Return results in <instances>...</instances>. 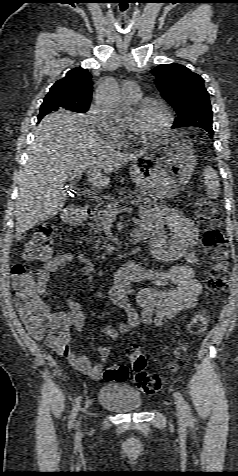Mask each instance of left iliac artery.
Wrapping results in <instances>:
<instances>
[{
	"instance_id": "obj_1",
	"label": "left iliac artery",
	"mask_w": 238,
	"mask_h": 476,
	"mask_svg": "<svg viewBox=\"0 0 238 476\" xmlns=\"http://www.w3.org/2000/svg\"><path fill=\"white\" fill-rule=\"evenodd\" d=\"M174 397L177 399L179 405L181 406L182 410L184 411V414H185V417H186V420H187L188 424L191 427H193L194 426V419H193V415H192V412H191V409H190L188 403L185 401V399L183 398V396L180 392H175Z\"/></svg>"
}]
</instances>
